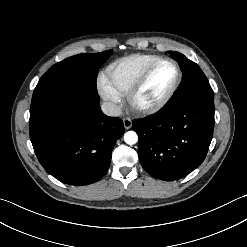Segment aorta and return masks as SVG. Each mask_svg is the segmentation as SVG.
<instances>
[{
    "label": "aorta",
    "instance_id": "1",
    "mask_svg": "<svg viewBox=\"0 0 247 247\" xmlns=\"http://www.w3.org/2000/svg\"><path fill=\"white\" fill-rule=\"evenodd\" d=\"M124 141L128 145H134L138 141V135L134 131H128L124 134Z\"/></svg>",
    "mask_w": 247,
    "mask_h": 247
}]
</instances>
